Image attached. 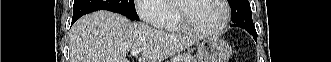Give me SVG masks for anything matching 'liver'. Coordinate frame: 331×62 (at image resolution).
I'll return each instance as SVG.
<instances>
[{"label":"liver","mask_w":331,"mask_h":62,"mask_svg":"<svg viewBox=\"0 0 331 62\" xmlns=\"http://www.w3.org/2000/svg\"><path fill=\"white\" fill-rule=\"evenodd\" d=\"M200 39L157 30L101 10L81 17L73 25L70 62H127V53L138 48H142L139 62H163Z\"/></svg>","instance_id":"obj_1"}]
</instances>
